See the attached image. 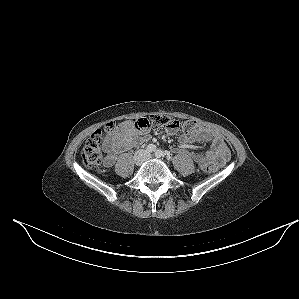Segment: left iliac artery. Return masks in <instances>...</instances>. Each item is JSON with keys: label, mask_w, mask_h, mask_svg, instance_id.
<instances>
[{"label": "left iliac artery", "mask_w": 299, "mask_h": 299, "mask_svg": "<svg viewBox=\"0 0 299 299\" xmlns=\"http://www.w3.org/2000/svg\"><path fill=\"white\" fill-rule=\"evenodd\" d=\"M166 155V153H164L162 150H157L156 152H155V156L157 157V158H160V157H164ZM167 157H169L168 155H167ZM170 158V157H169Z\"/></svg>", "instance_id": "1"}]
</instances>
